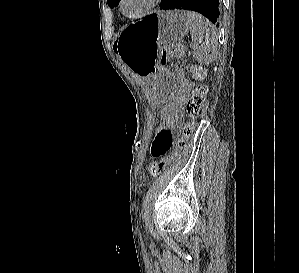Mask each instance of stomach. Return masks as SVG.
Here are the masks:
<instances>
[{"label":"stomach","mask_w":299,"mask_h":273,"mask_svg":"<svg viewBox=\"0 0 299 273\" xmlns=\"http://www.w3.org/2000/svg\"><path fill=\"white\" fill-rule=\"evenodd\" d=\"M188 26L183 13L177 10L158 11L126 26L116 42V52L125 66L144 76V85L151 100L166 101L173 90V78L161 68L163 44L180 41Z\"/></svg>","instance_id":"1"}]
</instances>
